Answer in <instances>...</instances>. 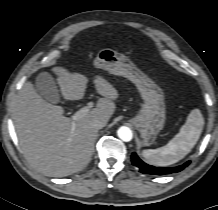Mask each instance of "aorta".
<instances>
[{"instance_id": "1", "label": "aorta", "mask_w": 218, "mask_h": 210, "mask_svg": "<svg viewBox=\"0 0 218 210\" xmlns=\"http://www.w3.org/2000/svg\"><path fill=\"white\" fill-rule=\"evenodd\" d=\"M117 134H118V137L125 142L131 141L133 137L131 129L125 126L120 127L117 131Z\"/></svg>"}]
</instances>
